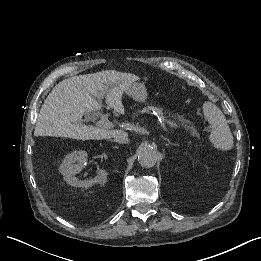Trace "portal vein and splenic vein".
Listing matches in <instances>:
<instances>
[{"label": "portal vein and splenic vein", "mask_w": 261, "mask_h": 261, "mask_svg": "<svg viewBox=\"0 0 261 261\" xmlns=\"http://www.w3.org/2000/svg\"><path fill=\"white\" fill-rule=\"evenodd\" d=\"M159 119H162L164 123H166L168 126H171L173 130L179 129V132H184V127H181V124L176 123V121H173L169 116H164V114H159ZM99 123L101 125L103 124L105 125L106 123H108V125L103 126L105 128H111L114 126L111 122L106 120H100Z\"/></svg>", "instance_id": "1"}]
</instances>
